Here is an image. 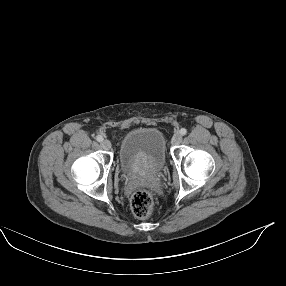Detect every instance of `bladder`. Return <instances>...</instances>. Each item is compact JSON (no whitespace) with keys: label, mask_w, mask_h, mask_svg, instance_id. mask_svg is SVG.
I'll list each match as a JSON object with an SVG mask.
<instances>
[{"label":"bladder","mask_w":286,"mask_h":286,"mask_svg":"<svg viewBox=\"0 0 286 286\" xmlns=\"http://www.w3.org/2000/svg\"><path fill=\"white\" fill-rule=\"evenodd\" d=\"M167 159L166 140L156 128H137L121 139L118 162L121 170L129 174H157Z\"/></svg>","instance_id":"1"}]
</instances>
